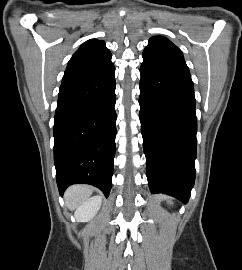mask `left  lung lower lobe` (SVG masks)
Segmentation results:
<instances>
[{
    "label": "left lung lower lobe",
    "instance_id": "0a47b994",
    "mask_svg": "<svg viewBox=\"0 0 242 270\" xmlns=\"http://www.w3.org/2000/svg\"><path fill=\"white\" fill-rule=\"evenodd\" d=\"M140 121L151 193L187 203L195 181L197 118L189 69L143 59Z\"/></svg>",
    "mask_w": 242,
    "mask_h": 270
}]
</instances>
